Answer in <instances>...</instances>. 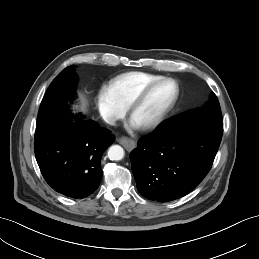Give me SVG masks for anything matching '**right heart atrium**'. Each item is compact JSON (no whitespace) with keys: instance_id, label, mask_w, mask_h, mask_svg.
<instances>
[{"instance_id":"1","label":"right heart atrium","mask_w":259,"mask_h":259,"mask_svg":"<svg viewBox=\"0 0 259 259\" xmlns=\"http://www.w3.org/2000/svg\"><path fill=\"white\" fill-rule=\"evenodd\" d=\"M96 106L102 119L108 124H115L125 116V110L119 106L105 89L96 95Z\"/></svg>"}]
</instances>
